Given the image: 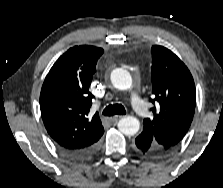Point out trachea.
I'll use <instances>...</instances> for the list:
<instances>
[{"instance_id": "obj_1", "label": "trachea", "mask_w": 223, "mask_h": 188, "mask_svg": "<svg viewBox=\"0 0 223 188\" xmlns=\"http://www.w3.org/2000/svg\"><path fill=\"white\" fill-rule=\"evenodd\" d=\"M125 114L126 110L124 106L121 104L109 105L103 110V115L105 116L125 115Z\"/></svg>"}]
</instances>
